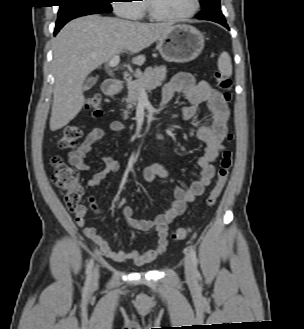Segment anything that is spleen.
<instances>
[{
  "label": "spleen",
  "instance_id": "1",
  "mask_svg": "<svg viewBox=\"0 0 304 329\" xmlns=\"http://www.w3.org/2000/svg\"><path fill=\"white\" fill-rule=\"evenodd\" d=\"M218 69L220 70L221 74L226 77L232 75L231 58L227 52L221 53L218 59Z\"/></svg>",
  "mask_w": 304,
  "mask_h": 329
}]
</instances>
